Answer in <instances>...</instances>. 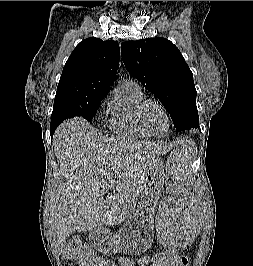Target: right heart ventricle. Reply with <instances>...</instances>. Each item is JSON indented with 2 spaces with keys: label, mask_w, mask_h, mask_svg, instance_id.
Here are the masks:
<instances>
[{
  "label": "right heart ventricle",
  "mask_w": 253,
  "mask_h": 266,
  "mask_svg": "<svg viewBox=\"0 0 253 266\" xmlns=\"http://www.w3.org/2000/svg\"><path fill=\"white\" fill-rule=\"evenodd\" d=\"M144 93L141 87L132 80H123L114 90L107 109L108 128L116 135L143 139L147 135L136 122V108Z\"/></svg>",
  "instance_id": "right-heart-ventricle-1"
}]
</instances>
